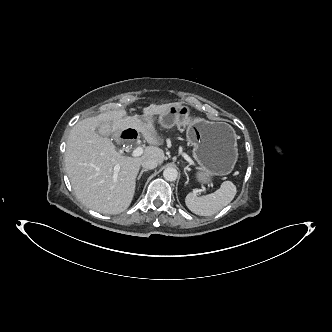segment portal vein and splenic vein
Returning a JSON list of instances; mask_svg holds the SVG:
<instances>
[{"label": "portal vein and splenic vein", "mask_w": 332, "mask_h": 332, "mask_svg": "<svg viewBox=\"0 0 332 332\" xmlns=\"http://www.w3.org/2000/svg\"><path fill=\"white\" fill-rule=\"evenodd\" d=\"M143 154V148L142 147H137L136 149L133 150L132 152V156L133 157H138V156H141ZM186 159H187V156L185 155L184 156ZM188 160V159H187ZM120 170V166L119 165H116L114 167V171L115 172H118Z\"/></svg>", "instance_id": "1"}]
</instances>
